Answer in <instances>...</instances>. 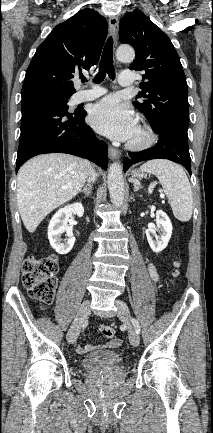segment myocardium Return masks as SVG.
I'll use <instances>...</instances> for the list:
<instances>
[{"mask_svg": "<svg viewBox=\"0 0 213 433\" xmlns=\"http://www.w3.org/2000/svg\"><path fill=\"white\" fill-rule=\"evenodd\" d=\"M137 127L142 134V138L138 141H128L126 147L134 151H140L151 147L157 140L154 130L144 123L139 124Z\"/></svg>", "mask_w": 213, "mask_h": 433, "instance_id": "f54148a6", "label": "myocardium"}]
</instances>
